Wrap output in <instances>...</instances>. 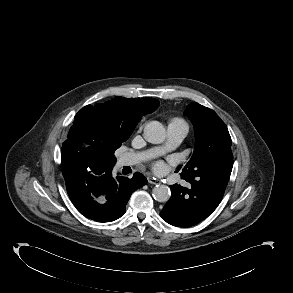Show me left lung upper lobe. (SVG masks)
I'll return each instance as SVG.
<instances>
[{
  "instance_id": "5c2ea615",
  "label": "left lung upper lobe",
  "mask_w": 293,
  "mask_h": 293,
  "mask_svg": "<svg viewBox=\"0 0 293 293\" xmlns=\"http://www.w3.org/2000/svg\"><path fill=\"white\" fill-rule=\"evenodd\" d=\"M184 114L194 123L196 147L182 173L216 172L230 177L233 166L232 141L225 123L213 110L196 102L189 104Z\"/></svg>"
}]
</instances>
